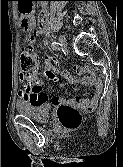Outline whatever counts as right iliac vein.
I'll use <instances>...</instances> for the list:
<instances>
[{
	"instance_id": "right-iliac-vein-1",
	"label": "right iliac vein",
	"mask_w": 123,
	"mask_h": 167,
	"mask_svg": "<svg viewBox=\"0 0 123 167\" xmlns=\"http://www.w3.org/2000/svg\"><path fill=\"white\" fill-rule=\"evenodd\" d=\"M58 41H59V43H60L62 46H66V44H67L65 37L62 36V35H60V36L58 37Z\"/></svg>"
}]
</instances>
